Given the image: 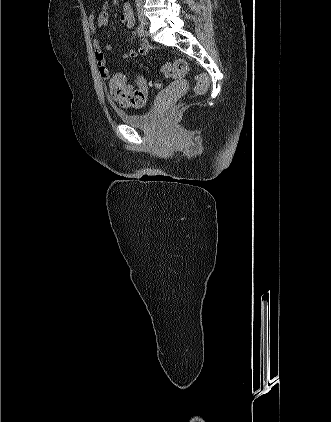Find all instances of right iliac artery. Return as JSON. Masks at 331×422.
I'll use <instances>...</instances> for the list:
<instances>
[{
    "mask_svg": "<svg viewBox=\"0 0 331 422\" xmlns=\"http://www.w3.org/2000/svg\"><path fill=\"white\" fill-rule=\"evenodd\" d=\"M137 33L140 37L145 36L146 34L144 28L140 25L137 27Z\"/></svg>",
    "mask_w": 331,
    "mask_h": 422,
    "instance_id": "obj_1",
    "label": "right iliac artery"
}]
</instances>
